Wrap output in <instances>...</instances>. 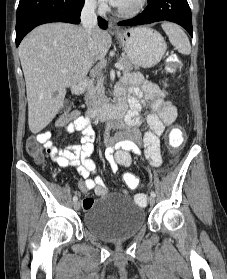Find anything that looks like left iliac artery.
<instances>
[{
	"mask_svg": "<svg viewBox=\"0 0 227 279\" xmlns=\"http://www.w3.org/2000/svg\"><path fill=\"white\" fill-rule=\"evenodd\" d=\"M150 194H151V196H152V197H155V196H156V194H155V192H154V191H151V193H150Z\"/></svg>",
	"mask_w": 227,
	"mask_h": 279,
	"instance_id": "44dca946",
	"label": "left iliac artery"
}]
</instances>
